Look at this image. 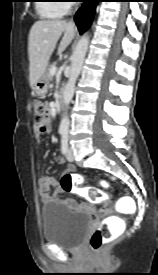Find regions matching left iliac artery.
Segmentation results:
<instances>
[{
  "label": "left iliac artery",
  "instance_id": "left-iliac-artery-1",
  "mask_svg": "<svg viewBox=\"0 0 158 275\" xmlns=\"http://www.w3.org/2000/svg\"><path fill=\"white\" fill-rule=\"evenodd\" d=\"M67 148H68V133L63 132L61 137V151L63 154L67 152Z\"/></svg>",
  "mask_w": 158,
  "mask_h": 275
}]
</instances>
